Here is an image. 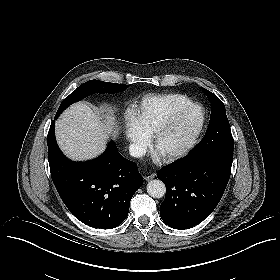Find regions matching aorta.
I'll return each mask as SVG.
<instances>
[{
    "instance_id": "1",
    "label": "aorta",
    "mask_w": 280,
    "mask_h": 280,
    "mask_svg": "<svg viewBox=\"0 0 280 280\" xmlns=\"http://www.w3.org/2000/svg\"><path fill=\"white\" fill-rule=\"evenodd\" d=\"M165 184L159 180H151L147 184V193L153 198H162L165 195Z\"/></svg>"
}]
</instances>
